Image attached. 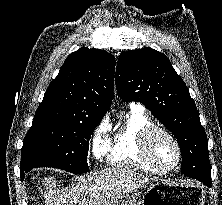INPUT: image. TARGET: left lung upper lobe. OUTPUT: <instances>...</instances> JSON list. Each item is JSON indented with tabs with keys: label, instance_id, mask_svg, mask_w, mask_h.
Wrapping results in <instances>:
<instances>
[{
	"label": "left lung upper lobe",
	"instance_id": "1",
	"mask_svg": "<svg viewBox=\"0 0 222 205\" xmlns=\"http://www.w3.org/2000/svg\"><path fill=\"white\" fill-rule=\"evenodd\" d=\"M116 87L122 101L142 102L174 134L181 153L198 155L205 164L200 178L211 181L208 140L198 110L164 54L151 48L122 52L116 67Z\"/></svg>",
	"mask_w": 222,
	"mask_h": 205
}]
</instances>
